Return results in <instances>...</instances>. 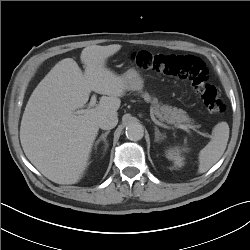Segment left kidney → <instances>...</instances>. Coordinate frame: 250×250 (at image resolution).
Masks as SVG:
<instances>
[{
  "instance_id": "5707ae66",
  "label": "left kidney",
  "mask_w": 250,
  "mask_h": 250,
  "mask_svg": "<svg viewBox=\"0 0 250 250\" xmlns=\"http://www.w3.org/2000/svg\"><path fill=\"white\" fill-rule=\"evenodd\" d=\"M166 157L172 160L177 167H181L184 164V158L181 156V150L178 147L168 149Z\"/></svg>"
}]
</instances>
